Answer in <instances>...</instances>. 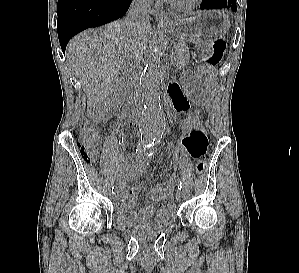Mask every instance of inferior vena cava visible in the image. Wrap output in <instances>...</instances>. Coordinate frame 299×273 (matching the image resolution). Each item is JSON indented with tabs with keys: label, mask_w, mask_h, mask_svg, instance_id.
<instances>
[{
	"label": "inferior vena cava",
	"mask_w": 299,
	"mask_h": 273,
	"mask_svg": "<svg viewBox=\"0 0 299 273\" xmlns=\"http://www.w3.org/2000/svg\"><path fill=\"white\" fill-rule=\"evenodd\" d=\"M149 9L150 3L149 0H133L131 7L128 11L126 20L134 28L146 27L149 25ZM139 58L134 56L133 61L134 65L129 68L130 71V86L131 90H135L138 86L137 74H136V65ZM138 96H135L134 106L138 107L137 104Z\"/></svg>",
	"instance_id": "1"
}]
</instances>
